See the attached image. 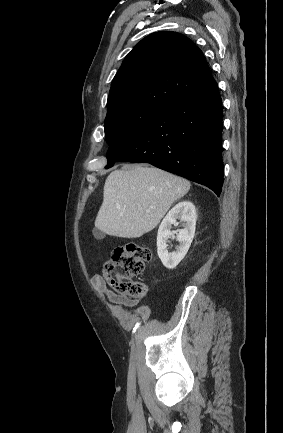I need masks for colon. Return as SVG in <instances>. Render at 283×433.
Instances as JSON below:
<instances>
[{
	"label": "colon",
	"mask_w": 283,
	"mask_h": 433,
	"mask_svg": "<svg viewBox=\"0 0 283 433\" xmlns=\"http://www.w3.org/2000/svg\"><path fill=\"white\" fill-rule=\"evenodd\" d=\"M150 259L151 251L145 246L136 243L120 246L103 264L102 277L118 295L142 299L147 292L146 284L133 278L143 272Z\"/></svg>",
	"instance_id": "5ec220e1"
}]
</instances>
